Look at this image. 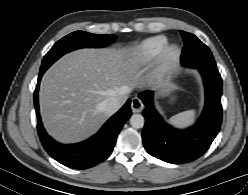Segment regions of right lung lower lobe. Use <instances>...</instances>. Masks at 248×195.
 Masks as SVG:
<instances>
[{"label":"right lung lower lobe","instance_id":"98d812e1","mask_svg":"<svg viewBox=\"0 0 248 195\" xmlns=\"http://www.w3.org/2000/svg\"><path fill=\"white\" fill-rule=\"evenodd\" d=\"M46 70H40L38 84L34 92V104L37 114V129L41 143L47 153L61 164L73 169H87L104 161L112 153L117 136L124 123L130 118L131 101L113 115L96 133L89 139L76 144H61L51 138L45 131L38 106V89L42 75Z\"/></svg>","mask_w":248,"mask_h":195}]
</instances>
